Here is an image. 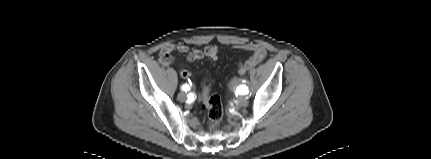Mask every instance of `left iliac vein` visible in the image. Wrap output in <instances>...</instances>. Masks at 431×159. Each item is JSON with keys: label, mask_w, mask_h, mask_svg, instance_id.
<instances>
[{"label": "left iliac vein", "mask_w": 431, "mask_h": 159, "mask_svg": "<svg viewBox=\"0 0 431 159\" xmlns=\"http://www.w3.org/2000/svg\"><path fill=\"white\" fill-rule=\"evenodd\" d=\"M246 103H247V99H246V97L241 96V97H240V104H241V105H245Z\"/></svg>", "instance_id": "left-iliac-vein-1"}]
</instances>
